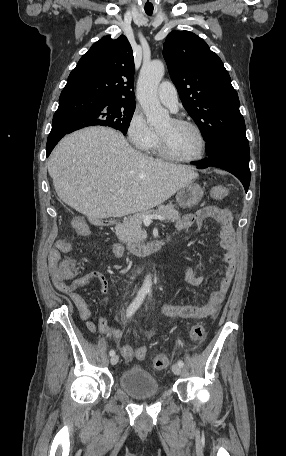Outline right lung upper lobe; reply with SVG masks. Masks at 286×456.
<instances>
[{"label":"right lung upper lobe","instance_id":"right-lung-upper-lobe-1","mask_svg":"<svg viewBox=\"0 0 286 456\" xmlns=\"http://www.w3.org/2000/svg\"><path fill=\"white\" fill-rule=\"evenodd\" d=\"M134 59L128 39L105 36L94 43L72 70L63 91L135 104Z\"/></svg>","mask_w":286,"mask_h":456}]
</instances>
